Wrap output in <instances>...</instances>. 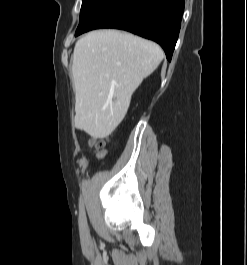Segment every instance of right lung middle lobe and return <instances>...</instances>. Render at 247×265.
Wrapping results in <instances>:
<instances>
[{
	"mask_svg": "<svg viewBox=\"0 0 247 265\" xmlns=\"http://www.w3.org/2000/svg\"><path fill=\"white\" fill-rule=\"evenodd\" d=\"M99 0H82V7L80 11V21L89 13V11L96 5Z\"/></svg>",
	"mask_w": 247,
	"mask_h": 265,
	"instance_id": "obj_1",
	"label": "right lung middle lobe"
}]
</instances>
